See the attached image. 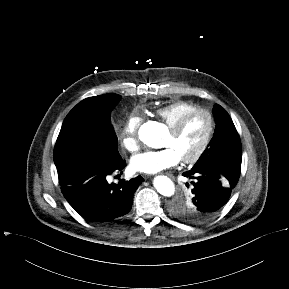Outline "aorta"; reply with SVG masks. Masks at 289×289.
I'll return each mask as SVG.
<instances>
[{
	"mask_svg": "<svg viewBox=\"0 0 289 289\" xmlns=\"http://www.w3.org/2000/svg\"><path fill=\"white\" fill-rule=\"evenodd\" d=\"M165 132L166 129L163 124L151 121L141 126L139 138L149 147L160 148ZM154 187L165 197H171L175 193V185L167 176H157L154 179Z\"/></svg>",
	"mask_w": 289,
	"mask_h": 289,
	"instance_id": "aorta-1",
	"label": "aorta"
}]
</instances>
